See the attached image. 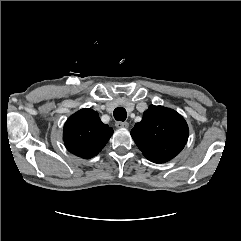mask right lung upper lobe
I'll return each instance as SVG.
<instances>
[{
  "label": "right lung upper lobe",
  "instance_id": "obj_1",
  "mask_svg": "<svg viewBox=\"0 0 241 241\" xmlns=\"http://www.w3.org/2000/svg\"><path fill=\"white\" fill-rule=\"evenodd\" d=\"M113 134V129L103 124L96 111L81 109L68 118L63 128L67 150L78 157L96 156Z\"/></svg>",
  "mask_w": 241,
  "mask_h": 241
}]
</instances>
